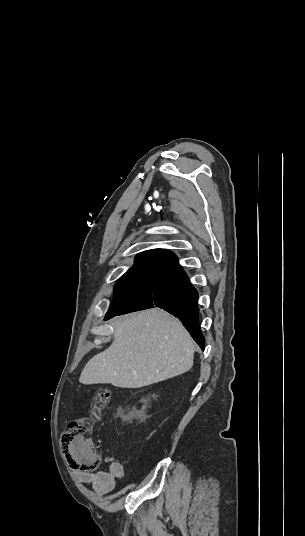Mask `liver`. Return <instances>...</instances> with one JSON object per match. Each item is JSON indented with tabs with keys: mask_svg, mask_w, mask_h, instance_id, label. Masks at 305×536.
<instances>
[{
	"mask_svg": "<svg viewBox=\"0 0 305 536\" xmlns=\"http://www.w3.org/2000/svg\"><path fill=\"white\" fill-rule=\"evenodd\" d=\"M114 340L87 362L81 384L143 388L191 370L193 340L177 318L152 308L110 320Z\"/></svg>",
	"mask_w": 305,
	"mask_h": 536,
	"instance_id": "6515ba94",
	"label": "liver"
}]
</instances>
